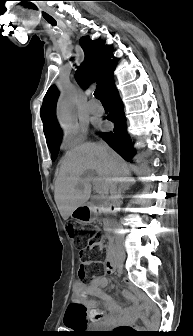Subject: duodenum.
Wrapping results in <instances>:
<instances>
[{"instance_id": "duodenum-1", "label": "duodenum", "mask_w": 193, "mask_h": 336, "mask_svg": "<svg viewBox=\"0 0 193 336\" xmlns=\"http://www.w3.org/2000/svg\"><path fill=\"white\" fill-rule=\"evenodd\" d=\"M105 209H111V207H107L105 205H99V206H96V210L98 212H102L104 211ZM107 262L112 266L114 267L115 266V253H114V247H113V244L112 242H110L109 244V248H108V253H107Z\"/></svg>"}]
</instances>
